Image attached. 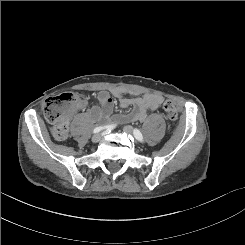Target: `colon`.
I'll use <instances>...</instances> for the list:
<instances>
[{"label":"colon","instance_id":"colon-1","mask_svg":"<svg viewBox=\"0 0 245 245\" xmlns=\"http://www.w3.org/2000/svg\"><path fill=\"white\" fill-rule=\"evenodd\" d=\"M83 93H63L46 100L43 108L45 119L52 124L51 133L58 141H64L69 134L68 118L85 99ZM163 109L171 121H176L178 111L171 101H164Z\"/></svg>","mask_w":245,"mask_h":245}]
</instances>
